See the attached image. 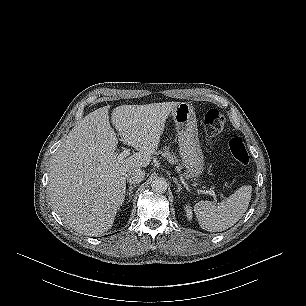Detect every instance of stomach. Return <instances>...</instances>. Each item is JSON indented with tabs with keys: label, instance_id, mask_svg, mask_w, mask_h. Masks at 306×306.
I'll use <instances>...</instances> for the list:
<instances>
[{
	"label": "stomach",
	"instance_id": "1",
	"mask_svg": "<svg viewBox=\"0 0 306 306\" xmlns=\"http://www.w3.org/2000/svg\"><path fill=\"white\" fill-rule=\"evenodd\" d=\"M171 115L177 130L182 163L187 174L197 179L204 170V157L199 143L194 108L182 102L172 110Z\"/></svg>",
	"mask_w": 306,
	"mask_h": 306
}]
</instances>
